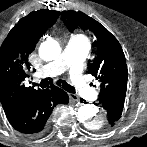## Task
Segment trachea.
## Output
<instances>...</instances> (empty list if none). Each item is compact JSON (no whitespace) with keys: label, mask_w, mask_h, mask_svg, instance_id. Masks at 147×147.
Wrapping results in <instances>:
<instances>
[{"label":"trachea","mask_w":147,"mask_h":147,"mask_svg":"<svg viewBox=\"0 0 147 147\" xmlns=\"http://www.w3.org/2000/svg\"><path fill=\"white\" fill-rule=\"evenodd\" d=\"M49 85H50V80H48V79H43V80H41V82H40V84H39V86H40L41 88H46V87H48ZM61 86H62V88H63L64 90H66L67 92L75 93V89H74L72 86H70L69 84L63 82Z\"/></svg>","instance_id":"trachea-1"}]
</instances>
